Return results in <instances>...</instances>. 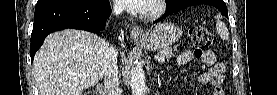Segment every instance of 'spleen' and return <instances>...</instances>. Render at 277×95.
<instances>
[{
  "mask_svg": "<svg viewBox=\"0 0 277 95\" xmlns=\"http://www.w3.org/2000/svg\"><path fill=\"white\" fill-rule=\"evenodd\" d=\"M216 31L223 40L229 39V31L226 25L219 19L216 21Z\"/></svg>",
  "mask_w": 277,
  "mask_h": 95,
  "instance_id": "obj_1",
  "label": "spleen"
}]
</instances>
